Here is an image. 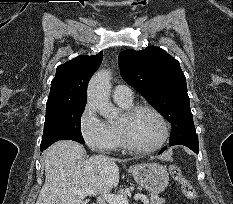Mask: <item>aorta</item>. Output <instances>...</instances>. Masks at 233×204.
<instances>
[{
	"mask_svg": "<svg viewBox=\"0 0 233 204\" xmlns=\"http://www.w3.org/2000/svg\"><path fill=\"white\" fill-rule=\"evenodd\" d=\"M111 72L100 70L88 84L87 101L106 120H114L118 109L110 102Z\"/></svg>",
	"mask_w": 233,
	"mask_h": 204,
	"instance_id": "obj_1",
	"label": "aorta"
}]
</instances>
